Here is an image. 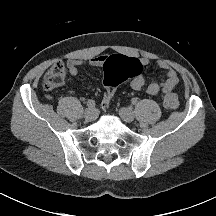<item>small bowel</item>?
Returning <instances> with one entry per match:
<instances>
[{"mask_svg":"<svg viewBox=\"0 0 216 216\" xmlns=\"http://www.w3.org/2000/svg\"><path fill=\"white\" fill-rule=\"evenodd\" d=\"M120 55H99L94 58L88 59L86 61L81 60H68L66 63V68L71 76H76L79 71V66L83 63H87L89 66L94 68L104 67L106 62L112 58L118 57ZM133 60L139 62L142 66H146L150 63L149 58L140 57L133 58ZM158 66L165 73V78L161 82H150L146 84V81L142 75L135 76L131 82L130 87L134 91H140L146 88L149 95L157 96L161 92H169L175 89L179 85V77L174 68L165 60H159Z\"/></svg>","mask_w":216,"mask_h":216,"instance_id":"1","label":"small bowel"}]
</instances>
